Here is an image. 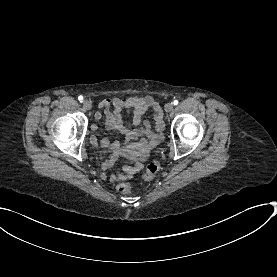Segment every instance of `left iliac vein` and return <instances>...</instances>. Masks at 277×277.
Instances as JSON below:
<instances>
[{"mask_svg":"<svg viewBox=\"0 0 277 277\" xmlns=\"http://www.w3.org/2000/svg\"><path fill=\"white\" fill-rule=\"evenodd\" d=\"M173 110V103H167L165 105V111L166 112H171Z\"/></svg>","mask_w":277,"mask_h":277,"instance_id":"1","label":"left iliac vein"}]
</instances>
